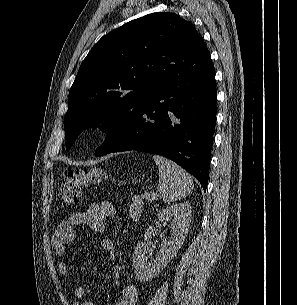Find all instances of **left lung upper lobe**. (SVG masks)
Returning <instances> with one entry per match:
<instances>
[{
  "mask_svg": "<svg viewBox=\"0 0 297 305\" xmlns=\"http://www.w3.org/2000/svg\"><path fill=\"white\" fill-rule=\"evenodd\" d=\"M210 64L202 36L174 13H152L103 36L83 60L69 91L66 150L81 130L103 123L108 139L96 152L101 154L125 136L162 85Z\"/></svg>",
  "mask_w": 297,
  "mask_h": 305,
  "instance_id": "1",
  "label": "left lung upper lobe"
}]
</instances>
